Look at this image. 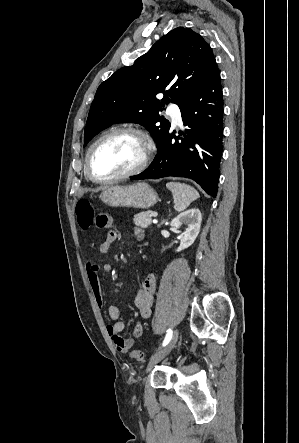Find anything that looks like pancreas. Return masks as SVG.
<instances>
[{"mask_svg":"<svg viewBox=\"0 0 299 443\" xmlns=\"http://www.w3.org/2000/svg\"><path fill=\"white\" fill-rule=\"evenodd\" d=\"M152 211H145L134 216V223L142 228H147L152 224Z\"/></svg>","mask_w":299,"mask_h":443,"instance_id":"1","label":"pancreas"}]
</instances>
